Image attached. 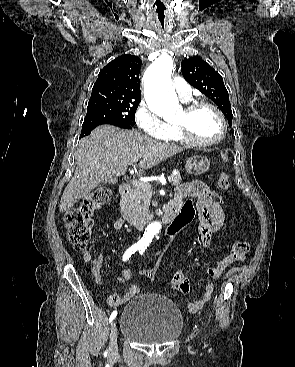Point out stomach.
Here are the masks:
<instances>
[{
	"mask_svg": "<svg viewBox=\"0 0 295 367\" xmlns=\"http://www.w3.org/2000/svg\"><path fill=\"white\" fill-rule=\"evenodd\" d=\"M210 167L209 160L204 156H193L186 161L185 169L191 175H201Z\"/></svg>",
	"mask_w": 295,
	"mask_h": 367,
	"instance_id": "1",
	"label": "stomach"
}]
</instances>
